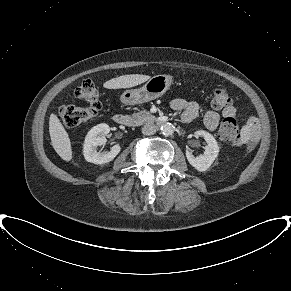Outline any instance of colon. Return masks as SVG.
Segmentation results:
<instances>
[{
    "label": "colon",
    "mask_w": 291,
    "mask_h": 291,
    "mask_svg": "<svg viewBox=\"0 0 291 291\" xmlns=\"http://www.w3.org/2000/svg\"><path fill=\"white\" fill-rule=\"evenodd\" d=\"M74 96L83 105H64L59 109V115L63 123L69 127H75L93 118L101 108L99 92L95 81L91 78L84 79L75 89ZM231 102L226 89L218 86L214 89L211 104L215 109H224ZM220 137L230 142L233 146L242 148L246 153L253 150L251 144H246L241 136L240 129L234 117L228 116L223 119L219 128Z\"/></svg>",
    "instance_id": "1"
}]
</instances>
